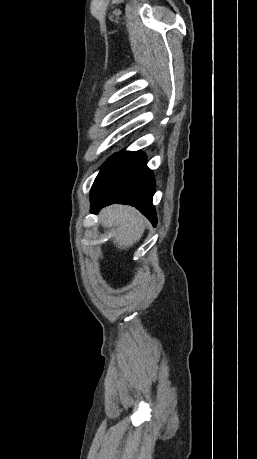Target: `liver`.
I'll use <instances>...</instances> for the list:
<instances>
[{
    "instance_id": "1",
    "label": "liver",
    "mask_w": 257,
    "mask_h": 459,
    "mask_svg": "<svg viewBox=\"0 0 257 459\" xmlns=\"http://www.w3.org/2000/svg\"><path fill=\"white\" fill-rule=\"evenodd\" d=\"M103 227H115L114 244L126 249L140 240L146 224L143 217L134 209L125 206H109L100 212Z\"/></svg>"
}]
</instances>
